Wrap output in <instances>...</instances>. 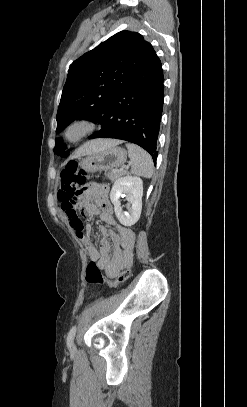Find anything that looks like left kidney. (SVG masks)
I'll return each instance as SVG.
<instances>
[{
    "mask_svg": "<svg viewBox=\"0 0 247 407\" xmlns=\"http://www.w3.org/2000/svg\"><path fill=\"white\" fill-rule=\"evenodd\" d=\"M143 181L139 177L124 176L117 179L111 189L110 199L119 222L124 226L134 225L140 218L142 210ZM120 197H125L130 204L129 212L121 207Z\"/></svg>",
    "mask_w": 247,
    "mask_h": 407,
    "instance_id": "left-kidney-1",
    "label": "left kidney"
}]
</instances>
